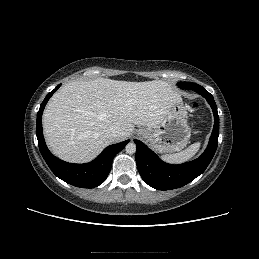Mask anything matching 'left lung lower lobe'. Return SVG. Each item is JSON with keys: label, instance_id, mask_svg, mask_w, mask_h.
<instances>
[{"label": "left lung lower lobe", "instance_id": "1", "mask_svg": "<svg viewBox=\"0 0 259 259\" xmlns=\"http://www.w3.org/2000/svg\"><path fill=\"white\" fill-rule=\"evenodd\" d=\"M195 91L206 98L214 114V127L209 144L198 159L180 165L167 164L161 161L144 143L134 140L137 146L135 158L138 171L144 182L155 189L171 190L188 184L205 171L216 152L219 136V116L216 103L213 96L202 86Z\"/></svg>", "mask_w": 259, "mask_h": 259}]
</instances>
